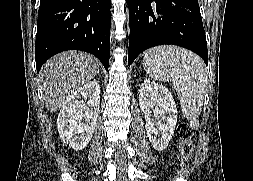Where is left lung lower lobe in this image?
<instances>
[{"mask_svg":"<svg viewBox=\"0 0 253 181\" xmlns=\"http://www.w3.org/2000/svg\"><path fill=\"white\" fill-rule=\"evenodd\" d=\"M128 64L144 50L173 44L208 64L207 42L198 0H129Z\"/></svg>","mask_w":253,"mask_h":181,"instance_id":"obj_1","label":"left lung lower lobe"}]
</instances>
